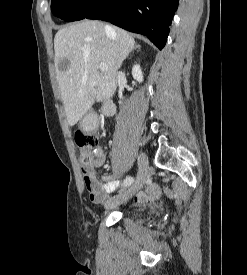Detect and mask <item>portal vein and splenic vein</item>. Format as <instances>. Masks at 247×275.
Listing matches in <instances>:
<instances>
[{"label": "portal vein and splenic vein", "mask_w": 247, "mask_h": 275, "mask_svg": "<svg viewBox=\"0 0 247 275\" xmlns=\"http://www.w3.org/2000/svg\"><path fill=\"white\" fill-rule=\"evenodd\" d=\"M99 69H100L102 72H105V71H107L108 67H107L106 64L101 63V64L99 65Z\"/></svg>", "instance_id": "18ae733b"}]
</instances>
